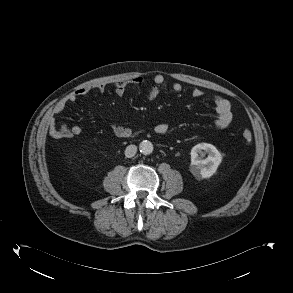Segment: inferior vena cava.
I'll return each instance as SVG.
<instances>
[{
    "instance_id": "inferior-vena-cava-1",
    "label": "inferior vena cava",
    "mask_w": 293,
    "mask_h": 293,
    "mask_svg": "<svg viewBox=\"0 0 293 293\" xmlns=\"http://www.w3.org/2000/svg\"><path fill=\"white\" fill-rule=\"evenodd\" d=\"M137 152V146L136 145H129L125 149V156L127 158L133 157Z\"/></svg>"
}]
</instances>
